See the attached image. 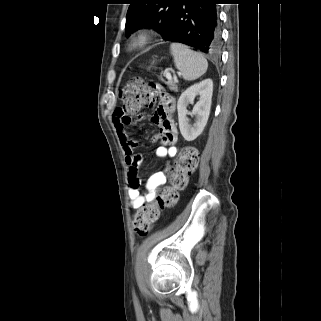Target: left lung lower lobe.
Instances as JSON below:
<instances>
[{"label": "left lung lower lobe", "instance_id": "left-lung-lower-lobe-1", "mask_svg": "<svg viewBox=\"0 0 321 321\" xmlns=\"http://www.w3.org/2000/svg\"><path fill=\"white\" fill-rule=\"evenodd\" d=\"M221 0H179L167 24L165 41L215 54L221 46L216 4Z\"/></svg>", "mask_w": 321, "mask_h": 321}]
</instances>
